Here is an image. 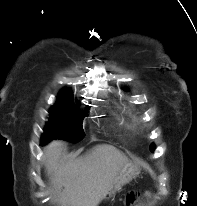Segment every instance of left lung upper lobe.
Returning <instances> with one entry per match:
<instances>
[{"mask_svg": "<svg viewBox=\"0 0 197 206\" xmlns=\"http://www.w3.org/2000/svg\"><path fill=\"white\" fill-rule=\"evenodd\" d=\"M150 150L153 152L154 151V145L150 146Z\"/></svg>", "mask_w": 197, "mask_h": 206, "instance_id": "obj_1", "label": "left lung upper lobe"}]
</instances>
